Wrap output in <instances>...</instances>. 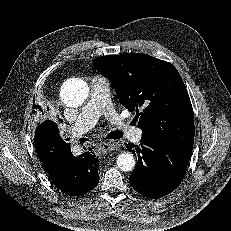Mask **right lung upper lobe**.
Listing matches in <instances>:
<instances>
[{
	"instance_id": "cb5924a9",
	"label": "right lung upper lobe",
	"mask_w": 231,
	"mask_h": 231,
	"mask_svg": "<svg viewBox=\"0 0 231 231\" xmlns=\"http://www.w3.org/2000/svg\"><path fill=\"white\" fill-rule=\"evenodd\" d=\"M38 106H36V109H37ZM41 108V107H38V109Z\"/></svg>"
}]
</instances>
